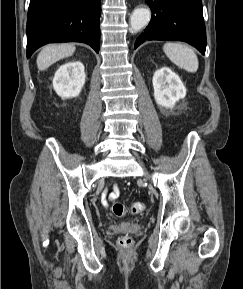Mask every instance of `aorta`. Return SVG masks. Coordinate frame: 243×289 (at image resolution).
Returning <instances> with one entry per match:
<instances>
[{
  "mask_svg": "<svg viewBox=\"0 0 243 289\" xmlns=\"http://www.w3.org/2000/svg\"><path fill=\"white\" fill-rule=\"evenodd\" d=\"M151 12L149 9L140 7L133 11L130 17V27L132 33L139 32L150 21Z\"/></svg>",
  "mask_w": 243,
  "mask_h": 289,
  "instance_id": "762f6f07",
  "label": "aorta"
}]
</instances>
